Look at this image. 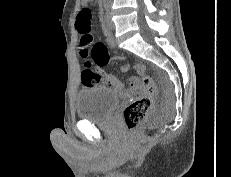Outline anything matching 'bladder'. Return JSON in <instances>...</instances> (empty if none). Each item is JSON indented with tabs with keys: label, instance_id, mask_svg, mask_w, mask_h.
<instances>
[{
	"label": "bladder",
	"instance_id": "1",
	"mask_svg": "<svg viewBox=\"0 0 231 177\" xmlns=\"http://www.w3.org/2000/svg\"><path fill=\"white\" fill-rule=\"evenodd\" d=\"M119 97L115 91L104 86L81 90L76 97V114L79 119L101 122L110 117Z\"/></svg>",
	"mask_w": 231,
	"mask_h": 177
}]
</instances>
